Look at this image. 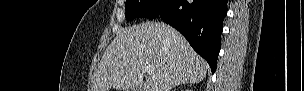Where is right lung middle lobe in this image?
<instances>
[{"mask_svg": "<svg viewBox=\"0 0 304 91\" xmlns=\"http://www.w3.org/2000/svg\"><path fill=\"white\" fill-rule=\"evenodd\" d=\"M169 0H126V19L137 17L157 18L167 6Z\"/></svg>", "mask_w": 304, "mask_h": 91, "instance_id": "obj_1", "label": "right lung middle lobe"}]
</instances>
